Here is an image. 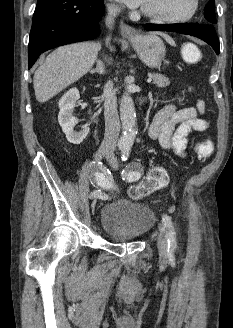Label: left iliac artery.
Segmentation results:
<instances>
[{"instance_id":"obj_1","label":"left iliac artery","mask_w":233,"mask_h":328,"mask_svg":"<svg viewBox=\"0 0 233 328\" xmlns=\"http://www.w3.org/2000/svg\"><path fill=\"white\" fill-rule=\"evenodd\" d=\"M121 151H122V156H121L122 161H126L129 157L130 147L129 146L121 147ZM122 177L123 179H127V181L129 182H133L140 178V173L137 171H129V172L124 171L122 172ZM162 220L167 230L168 246L170 250L173 251L177 247L176 232H175L174 225L172 223L171 218L168 215H163Z\"/></svg>"}]
</instances>
